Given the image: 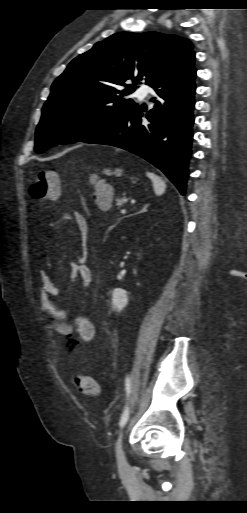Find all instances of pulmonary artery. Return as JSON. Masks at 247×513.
Wrapping results in <instances>:
<instances>
[{"mask_svg":"<svg viewBox=\"0 0 247 513\" xmlns=\"http://www.w3.org/2000/svg\"><path fill=\"white\" fill-rule=\"evenodd\" d=\"M149 87L146 86V85H141L137 90H136V95L142 99L144 97L147 96V94L149 93Z\"/></svg>","mask_w":247,"mask_h":513,"instance_id":"e3ab8cb5","label":"pulmonary artery"}]
</instances>
